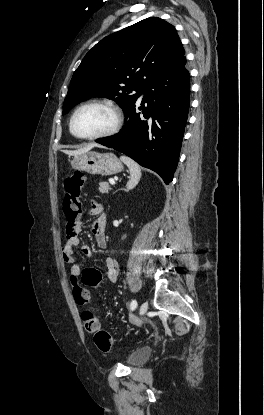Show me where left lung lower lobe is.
<instances>
[{"mask_svg":"<svg viewBox=\"0 0 264 415\" xmlns=\"http://www.w3.org/2000/svg\"><path fill=\"white\" fill-rule=\"evenodd\" d=\"M183 56L140 92L142 114L135 103L125 111L126 124L116 135L96 140L158 173L169 184L176 170L190 104V75ZM139 95V96H140ZM147 102V107L144 106Z\"/></svg>","mask_w":264,"mask_h":415,"instance_id":"obj_1","label":"left lung lower lobe"}]
</instances>
